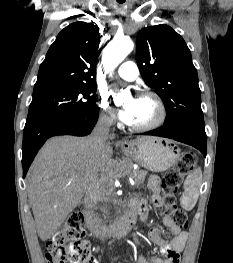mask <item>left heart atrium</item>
<instances>
[{
    "label": "left heart atrium",
    "mask_w": 233,
    "mask_h": 263,
    "mask_svg": "<svg viewBox=\"0 0 233 263\" xmlns=\"http://www.w3.org/2000/svg\"><path fill=\"white\" fill-rule=\"evenodd\" d=\"M136 100H130L124 107L119 109L118 116L127 125H132L136 114Z\"/></svg>",
    "instance_id": "obj_1"
}]
</instances>
